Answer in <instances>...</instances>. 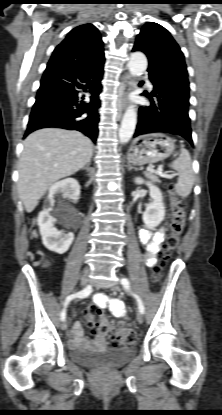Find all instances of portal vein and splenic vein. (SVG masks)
I'll return each mask as SVG.
<instances>
[{"instance_id": "1", "label": "portal vein and splenic vein", "mask_w": 222, "mask_h": 415, "mask_svg": "<svg viewBox=\"0 0 222 415\" xmlns=\"http://www.w3.org/2000/svg\"><path fill=\"white\" fill-rule=\"evenodd\" d=\"M147 171L148 172H150V173H155L156 171L153 169V167H148L147 168ZM159 174L162 176V177H165V178H168V179H173L175 176H176V174H162L161 172H159Z\"/></svg>"}]
</instances>
